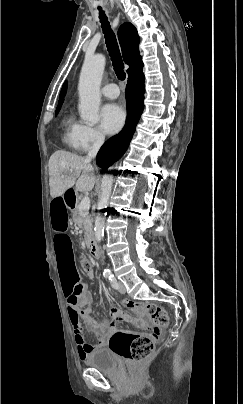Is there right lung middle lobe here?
<instances>
[{"instance_id": "1", "label": "right lung middle lobe", "mask_w": 243, "mask_h": 404, "mask_svg": "<svg viewBox=\"0 0 243 404\" xmlns=\"http://www.w3.org/2000/svg\"><path fill=\"white\" fill-rule=\"evenodd\" d=\"M59 109H60V107H58V108L56 109V113H58Z\"/></svg>"}]
</instances>
